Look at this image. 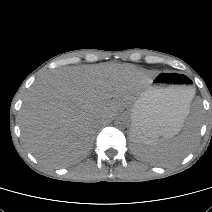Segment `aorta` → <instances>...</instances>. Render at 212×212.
<instances>
[{"mask_svg":"<svg viewBox=\"0 0 212 212\" xmlns=\"http://www.w3.org/2000/svg\"><path fill=\"white\" fill-rule=\"evenodd\" d=\"M114 125L117 128H124L127 125V120L124 117H118L115 121H114Z\"/></svg>","mask_w":212,"mask_h":212,"instance_id":"obj_1","label":"aorta"}]
</instances>
